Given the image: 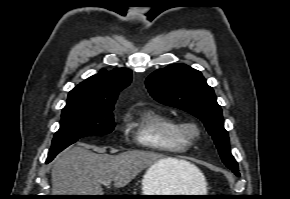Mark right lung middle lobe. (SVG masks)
Masks as SVG:
<instances>
[{
  "instance_id": "right-lung-middle-lobe-1",
  "label": "right lung middle lobe",
  "mask_w": 290,
  "mask_h": 199,
  "mask_svg": "<svg viewBox=\"0 0 290 199\" xmlns=\"http://www.w3.org/2000/svg\"><path fill=\"white\" fill-rule=\"evenodd\" d=\"M113 109V107L63 109L60 128L54 135L48 157H55L82 137L112 132L115 127Z\"/></svg>"
}]
</instances>
